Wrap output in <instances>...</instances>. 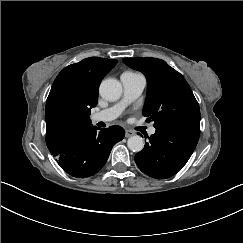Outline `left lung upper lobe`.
<instances>
[{"label":"left lung upper lobe","instance_id":"5c2ea615","mask_svg":"<svg viewBox=\"0 0 243 243\" xmlns=\"http://www.w3.org/2000/svg\"><path fill=\"white\" fill-rule=\"evenodd\" d=\"M123 62L141 71L147 79L143 114L154 121L155 128H200L199 104L179 72L157 58H124Z\"/></svg>","mask_w":243,"mask_h":243}]
</instances>
